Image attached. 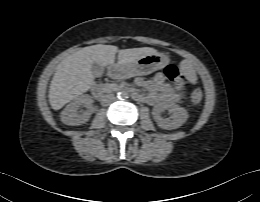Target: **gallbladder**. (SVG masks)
Listing matches in <instances>:
<instances>
[{"label":"gallbladder","instance_id":"bac80fb5","mask_svg":"<svg viewBox=\"0 0 260 202\" xmlns=\"http://www.w3.org/2000/svg\"><path fill=\"white\" fill-rule=\"evenodd\" d=\"M91 72L95 77H100L102 76L104 69L98 63L94 62L91 65Z\"/></svg>","mask_w":260,"mask_h":202}]
</instances>
